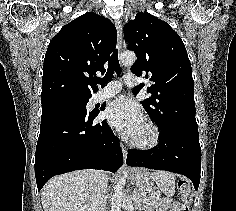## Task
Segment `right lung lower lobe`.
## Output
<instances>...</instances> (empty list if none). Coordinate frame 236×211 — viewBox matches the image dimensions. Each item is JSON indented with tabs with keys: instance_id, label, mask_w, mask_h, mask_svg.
I'll list each match as a JSON object with an SVG mask.
<instances>
[{
	"instance_id": "98d812e1",
	"label": "right lung lower lobe",
	"mask_w": 236,
	"mask_h": 211,
	"mask_svg": "<svg viewBox=\"0 0 236 211\" xmlns=\"http://www.w3.org/2000/svg\"><path fill=\"white\" fill-rule=\"evenodd\" d=\"M97 115L67 108L42 111L35 153L38 191L58 174L81 169L116 172L122 166L119 140L105 120L93 125Z\"/></svg>"
}]
</instances>
